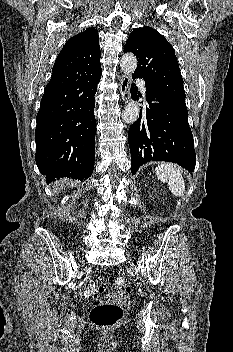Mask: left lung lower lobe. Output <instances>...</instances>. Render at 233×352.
Instances as JSON below:
<instances>
[{
  "label": "left lung lower lobe",
  "mask_w": 233,
  "mask_h": 352,
  "mask_svg": "<svg viewBox=\"0 0 233 352\" xmlns=\"http://www.w3.org/2000/svg\"><path fill=\"white\" fill-rule=\"evenodd\" d=\"M137 91L132 84L133 98H139ZM146 99V113L142 114L141 108L139 118L128 132L132 174L149 161L173 162L193 172L196 155L186 104L147 84Z\"/></svg>",
  "instance_id": "obj_1"
}]
</instances>
